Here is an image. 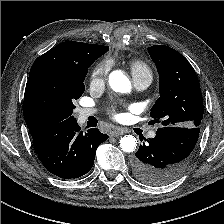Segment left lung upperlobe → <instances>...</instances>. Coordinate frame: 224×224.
<instances>
[{"label": "left lung upper lobe", "mask_w": 224, "mask_h": 224, "mask_svg": "<svg viewBox=\"0 0 224 224\" xmlns=\"http://www.w3.org/2000/svg\"><path fill=\"white\" fill-rule=\"evenodd\" d=\"M159 73L160 97L151 108L154 122L163 126L199 127L204 106L200 84L191 64L176 50L164 46L148 47Z\"/></svg>", "instance_id": "1"}]
</instances>
